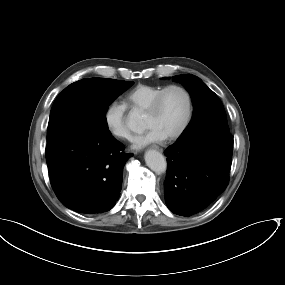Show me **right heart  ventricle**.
<instances>
[{
    "instance_id": "obj_1",
    "label": "right heart ventricle",
    "mask_w": 285,
    "mask_h": 285,
    "mask_svg": "<svg viewBox=\"0 0 285 285\" xmlns=\"http://www.w3.org/2000/svg\"><path fill=\"white\" fill-rule=\"evenodd\" d=\"M163 88L158 85L139 84L130 90L123 98V105L131 111H146L150 102Z\"/></svg>"
}]
</instances>
